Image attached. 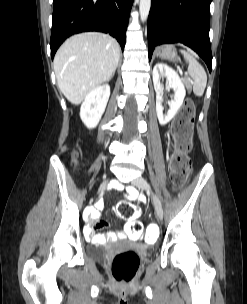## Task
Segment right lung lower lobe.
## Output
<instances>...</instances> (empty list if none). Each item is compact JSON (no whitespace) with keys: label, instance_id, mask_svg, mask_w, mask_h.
Instances as JSON below:
<instances>
[{"label":"right lung lower lobe","instance_id":"right-lung-lower-lobe-1","mask_svg":"<svg viewBox=\"0 0 247 304\" xmlns=\"http://www.w3.org/2000/svg\"><path fill=\"white\" fill-rule=\"evenodd\" d=\"M133 0H53L51 57L69 36L85 32L109 33L125 46Z\"/></svg>","mask_w":247,"mask_h":304}]
</instances>
